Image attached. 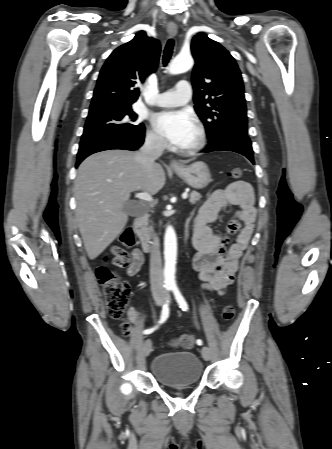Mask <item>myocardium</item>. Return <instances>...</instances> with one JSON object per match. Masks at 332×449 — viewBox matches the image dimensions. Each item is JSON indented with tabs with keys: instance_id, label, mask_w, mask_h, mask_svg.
I'll list each match as a JSON object with an SVG mask.
<instances>
[{
	"instance_id": "f54148a6",
	"label": "myocardium",
	"mask_w": 332,
	"mask_h": 449,
	"mask_svg": "<svg viewBox=\"0 0 332 449\" xmlns=\"http://www.w3.org/2000/svg\"><path fill=\"white\" fill-rule=\"evenodd\" d=\"M205 144H206L205 130L203 129L202 126L198 125V126H196V138H195L194 142L187 147H183L181 149V152L188 154V155H192V154H195V153L199 152L200 150H202L204 148Z\"/></svg>"
}]
</instances>
